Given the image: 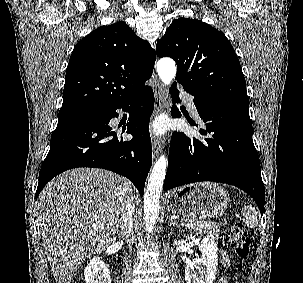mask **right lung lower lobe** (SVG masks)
<instances>
[{
  "label": "right lung lower lobe",
  "instance_id": "1",
  "mask_svg": "<svg viewBox=\"0 0 303 283\" xmlns=\"http://www.w3.org/2000/svg\"><path fill=\"white\" fill-rule=\"evenodd\" d=\"M153 106V90L146 86L132 98L98 111L93 120L58 123L40 170L36 199L52 178L77 167L103 168L125 176L142 196L152 164L149 119ZM117 109L129 112L125 130L133 135L130 141L109 126L118 117Z\"/></svg>",
  "mask_w": 303,
  "mask_h": 283
}]
</instances>
